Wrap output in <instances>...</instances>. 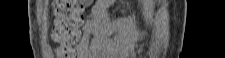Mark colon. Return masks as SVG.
Segmentation results:
<instances>
[{
    "label": "colon",
    "instance_id": "colon-1",
    "mask_svg": "<svg viewBox=\"0 0 225 58\" xmlns=\"http://www.w3.org/2000/svg\"><path fill=\"white\" fill-rule=\"evenodd\" d=\"M87 1H55V19L51 31L52 38L59 44V58H73L72 45L77 41L78 28L82 22V13Z\"/></svg>",
    "mask_w": 225,
    "mask_h": 58
}]
</instances>
